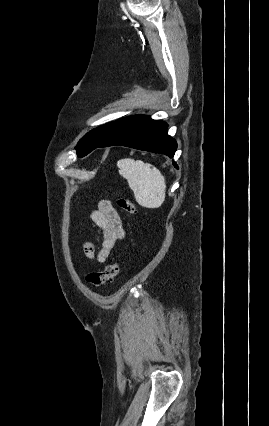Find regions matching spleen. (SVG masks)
Listing matches in <instances>:
<instances>
[{"instance_id":"1","label":"spleen","mask_w":269,"mask_h":426,"mask_svg":"<svg viewBox=\"0 0 269 426\" xmlns=\"http://www.w3.org/2000/svg\"><path fill=\"white\" fill-rule=\"evenodd\" d=\"M117 166L119 174L127 180L140 206L158 208L163 204L166 183L164 176L156 167L131 158L120 159Z\"/></svg>"}]
</instances>
